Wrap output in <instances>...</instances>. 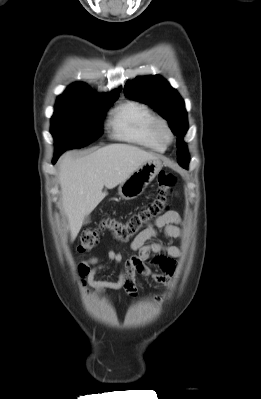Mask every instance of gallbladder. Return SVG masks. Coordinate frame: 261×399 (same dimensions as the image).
I'll list each match as a JSON object with an SVG mask.
<instances>
[{
    "label": "gallbladder",
    "mask_w": 261,
    "mask_h": 399,
    "mask_svg": "<svg viewBox=\"0 0 261 399\" xmlns=\"http://www.w3.org/2000/svg\"><path fill=\"white\" fill-rule=\"evenodd\" d=\"M83 223H84V224L90 223V217H89V216H86V217L84 218Z\"/></svg>",
    "instance_id": "bac80fb5"
}]
</instances>
